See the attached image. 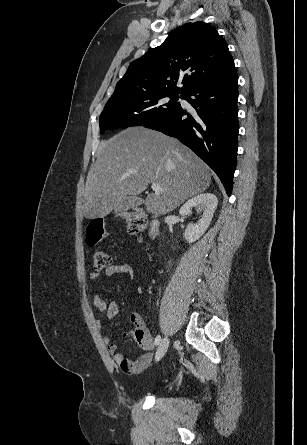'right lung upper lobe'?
Wrapping results in <instances>:
<instances>
[{"instance_id": "1", "label": "right lung upper lobe", "mask_w": 307, "mask_h": 445, "mask_svg": "<svg viewBox=\"0 0 307 445\" xmlns=\"http://www.w3.org/2000/svg\"><path fill=\"white\" fill-rule=\"evenodd\" d=\"M233 62L226 41L202 21L174 30L164 43L133 61L112 97L181 94L223 73ZM191 72V73H190ZM182 80V87L176 83Z\"/></svg>"}]
</instances>
